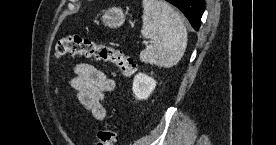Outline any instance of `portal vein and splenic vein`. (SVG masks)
Segmentation results:
<instances>
[{
	"label": "portal vein and splenic vein",
	"instance_id": "18ae733b",
	"mask_svg": "<svg viewBox=\"0 0 276 145\" xmlns=\"http://www.w3.org/2000/svg\"><path fill=\"white\" fill-rule=\"evenodd\" d=\"M144 44H145V45H147V44H148V42H147V41H144Z\"/></svg>",
	"mask_w": 276,
	"mask_h": 145
}]
</instances>
